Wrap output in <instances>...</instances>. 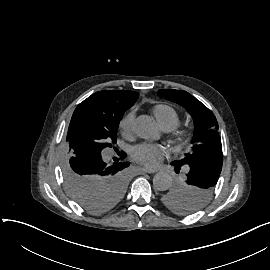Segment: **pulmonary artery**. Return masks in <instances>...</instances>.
<instances>
[{
    "instance_id": "1",
    "label": "pulmonary artery",
    "mask_w": 270,
    "mask_h": 270,
    "mask_svg": "<svg viewBox=\"0 0 270 270\" xmlns=\"http://www.w3.org/2000/svg\"><path fill=\"white\" fill-rule=\"evenodd\" d=\"M160 128L164 133H171L176 128V125L172 122H162L160 123ZM189 169V165L183 166L184 172H188Z\"/></svg>"
}]
</instances>
